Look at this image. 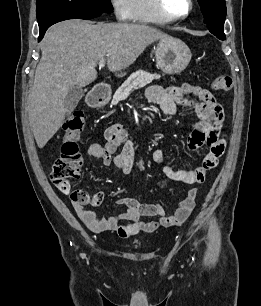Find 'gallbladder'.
Wrapping results in <instances>:
<instances>
[{"label":"gallbladder","instance_id":"obj_1","mask_svg":"<svg viewBox=\"0 0 261 306\" xmlns=\"http://www.w3.org/2000/svg\"><path fill=\"white\" fill-rule=\"evenodd\" d=\"M84 96V90L79 87H73L69 90L65 97V107L67 109V115H70L71 112L75 109L78 102Z\"/></svg>","mask_w":261,"mask_h":306}]
</instances>
